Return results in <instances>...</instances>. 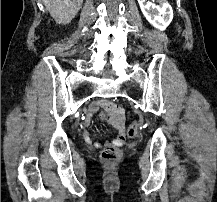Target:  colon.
Returning a JSON list of instances; mask_svg holds the SVG:
<instances>
[{"instance_id":"colon-1","label":"colon","mask_w":217,"mask_h":202,"mask_svg":"<svg viewBox=\"0 0 217 202\" xmlns=\"http://www.w3.org/2000/svg\"><path fill=\"white\" fill-rule=\"evenodd\" d=\"M105 115L106 113H99L98 112V121L101 123L103 120H105ZM136 126L137 124L134 123L129 131H128V136L130 138H133L137 135V130H136ZM121 157V152L117 147H105L102 152H101V158L106 161V162H110V163H114L116 161H118Z\"/></svg>"}]
</instances>
